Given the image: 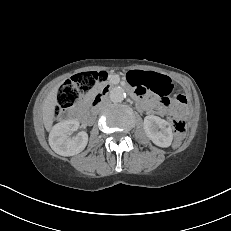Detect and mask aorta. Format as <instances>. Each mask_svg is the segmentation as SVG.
I'll return each mask as SVG.
<instances>
[{
	"mask_svg": "<svg viewBox=\"0 0 231 231\" xmlns=\"http://www.w3.org/2000/svg\"><path fill=\"white\" fill-rule=\"evenodd\" d=\"M125 95V91L121 87H115L110 91V100L113 103H119L124 100Z\"/></svg>",
	"mask_w": 231,
	"mask_h": 231,
	"instance_id": "aorta-1",
	"label": "aorta"
}]
</instances>
